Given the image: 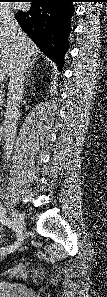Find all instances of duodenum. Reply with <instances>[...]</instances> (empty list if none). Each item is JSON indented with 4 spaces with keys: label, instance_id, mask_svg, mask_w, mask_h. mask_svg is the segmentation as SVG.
<instances>
[{
    "label": "duodenum",
    "instance_id": "obj_1",
    "mask_svg": "<svg viewBox=\"0 0 107 297\" xmlns=\"http://www.w3.org/2000/svg\"><path fill=\"white\" fill-rule=\"evenodd\" d=\"M1 131H2V124L0 123V133H2Z\"/></svg>",
    "mask_w": 107,
    "mask_h": 297
}]
</instances>
